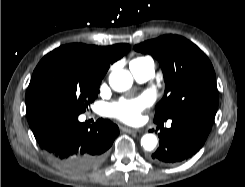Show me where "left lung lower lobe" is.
<instances>
[{
    "label": "left lung lower lobe",
    "instance_id": "left-lung-lower-lobe-1",
    "mask_svg": "<svg viewBox=\"0 0 245 187\" xmlns=\"http://www.w3.org/2000/svg\"><path fill=\"white\" fill-rule=\"evenodd\" d=\"M214 117V114L199 113L172 118L171 128L160 129V147L152 154L151 160L171 165L192 157L204 145ZM159 122L163 121L155 123Z\"/></svg>",
    "mask_w": 245,
    "mask_h": 187
}]
</instances>
